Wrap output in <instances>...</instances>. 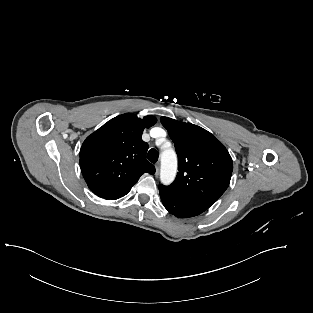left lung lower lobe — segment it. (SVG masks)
I'll return each instance as SVG.
<instances>
[{
  "label": "left lung lower lobe",
  "instance_id": "left-lung-lower-lobe-1",
  "mask_svg": "<svg viewBox=\"0 0 313 313\" xmlns=\"http://www.w3.org/2000/svg\"><path fill=\"white\" fill-rule=\"evenodd\" d=\"M160 197L164 207L179 218H188L201 214L206 209L184 202L159 188Z\"/></svg>",
  "mask_w": 313,
  "mask_h": 313
}]
</instances>
